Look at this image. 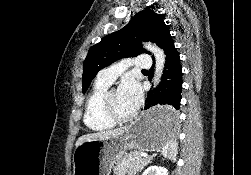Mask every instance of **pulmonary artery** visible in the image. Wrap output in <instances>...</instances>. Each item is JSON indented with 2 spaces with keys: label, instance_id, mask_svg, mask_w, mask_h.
Masks as SVG:
<instances>
[{
  "label": "pulmonary artery",
  "instance_id": "1",
  "mask_svg": "<svg viewBox=\"0 0 251 175\" xmlns=\"http://www.w3.org/2000/svg\"><path fill=\"white\" fill-rule=\"evenodd\" d=\"M141 57L140 55H134V58H129V67H138L137 68L138 70L140 69L139 67H142L143 70H151V67H153L151 55H146V52H141ZM117 66L118 63L113 62L111 67L102 70L98 74L97 79L101 82L111 85L114 82V80L118 77L120 71L123 70L122 67L127 66V63L121 62L120 63L121 67Z\"/></svg>",
  "mask_w": 251,
  "mask_h": 175
}]
</instances>
